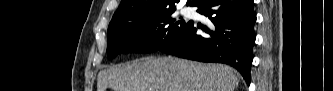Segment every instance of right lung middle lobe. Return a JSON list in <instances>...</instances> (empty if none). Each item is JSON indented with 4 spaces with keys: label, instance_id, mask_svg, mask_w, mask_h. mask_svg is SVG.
Here are the masks:
<instances>
[{
    "label": "right lung middle lobe",
    "instance_id": "right-lung-middle-lobe-1",
    "mask_svg": "<svg viewBox=\"0 0 333 91\" xmlns=\"http://www.w3.org/2000/svg\"><path fill=\"white\" fill-rule=\"evenodd\" d=\"M175 10L158 12L128 21L109 24L107 31V54L152 53L173 40L186 26Z\"/></svg>",
    "mask_w": 333,
    "mask_h": 91
}]
</instances>
